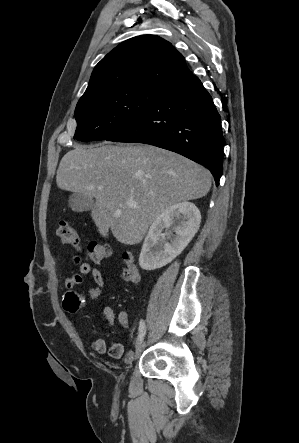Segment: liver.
I'll return each instance as SVG.
<instances>
[{
  "label": "liver",
  "instance_id": "1",
  "mask_svg": "<svg viewBox=\"0 0 299 443\" xmlns=\"http://www.w3.org/2000/svg\"><path fill=\"white\" fill-rule=\"evenodd\" d=\"M56 183L62 190L95 198L91 217L103 237L110 229L119 242L134 245L165 209L205 196L211 173L153 146L77 145L61 159ZM129 200L136 207L128 206Z\"/></svg>",
  "mask_w": 299,
  "mask_h": 443
}]
</instances>
